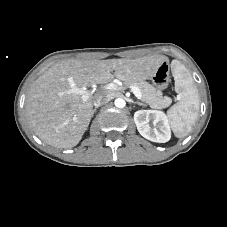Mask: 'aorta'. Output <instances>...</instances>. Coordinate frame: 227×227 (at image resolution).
I'll return each instance as SVG.
<instances>
[{
  "label": "aorta",
  "instance_id": "1",
  "mask_svg": "<svg viewBox=\"0 0 227 227\" xmlns=\"http://www.w3.org/2000/svg\"><path fill=\"white\" fill-rule=\"evenodd\" d=\"M115 106H116L117 108H124V107L126 106V102H125V100L122 99V98H117V99L115 100Z\"/></svg>",
  "mask_w": 227,
  "mask_h": 227
}]
</instances>
